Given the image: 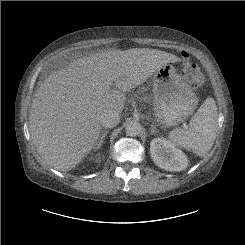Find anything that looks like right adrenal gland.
Listing matches in <instances>:
<instances>
[{"mask_svg":"<svg viewBox=\"0 0 245 245\" xmlns=\"http://www.w3.org/2000/svg\"><path fill=\"white\" fill-rule=\"evenodd\" d=\"M108 134V130H104L102 131V134L100 135L99 139H98V144L97 146L95 147V149H99L101 147V145L103 144L104 142V139L105 137L107 136Z\"/></svg>","mask_w":245,"mask_h":245,"instance_id":"2a0ac1e0","label":"right adrenal gland"}]
</instances>
